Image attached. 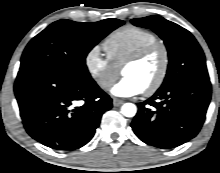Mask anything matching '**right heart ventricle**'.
<instances>
[{
    "label": "right heart ventricle",
    "instance_id": "right-heart-ventricle-1",
    "mask_svg": "<svg viewBox=\"0 0 220 173\" xmlns=\"http://www.w3.org/2000/svg\"><path fill=\"white\" fill-rule=\"evenodd\" d=\"M156 41L158 38L153 32L127 25L110 34L103 47L108 59L120 68L135 52Z\"/></svg>",
    "mask_w": 220,
    "mask_h": 173
}]
</instances>
